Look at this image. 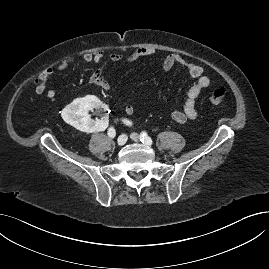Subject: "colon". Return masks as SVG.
<instances>
[{"instance_id": "5ec220e1", "label": "colon", "mask_w": 269, "mask_h": 269, "mask_svg": "<svg viewBox=\"0 0 269 269\" xmlns=\"http://www.w3.org/2000/svg\"><path fill=\"white\" fill-rule=\"evenodd\" d=\"M227 97V90L223 87L215 89L209 96V102L214 105L222 104Z\"/></svg>"}]
</instances>
